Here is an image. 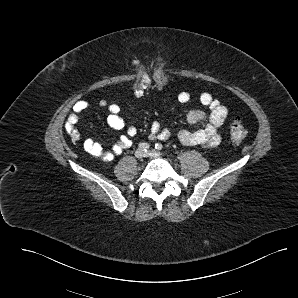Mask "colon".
Returning <instances> with one entry per match:
<instances>
[{
  "mask_svg": "<svg viewBox=\"0 0 298 298\" xmlns=\"http://www.w3.org/2000/svg\"><path fill=\"white\" fill-rule=\"evenodd\" d=\"M140 68L137 77L135 79L133 90L135 95L142 96L148 90V87L151 83V74L150 72L137 64ZM153 80L158 87H163L167 83V75L161 68H156L152 72ZM67 131L71 134L75 129L73 124L67 122L66 124ZM247 135V130L244 125L239 120H234L229 126V136L230 140L233 143H240L244 140Z\"/></svg>",
  "mask_w": 298,
  "mask_h": 298,
  "instance_id": "5ec220e1",
  "label": "colon"
}]
</instances>
